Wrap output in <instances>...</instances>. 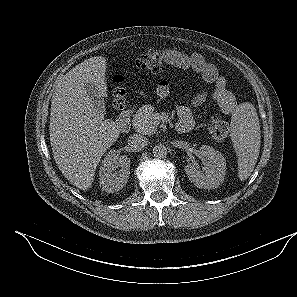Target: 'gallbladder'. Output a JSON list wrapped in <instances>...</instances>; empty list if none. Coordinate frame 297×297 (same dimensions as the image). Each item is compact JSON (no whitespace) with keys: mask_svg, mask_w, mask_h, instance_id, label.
<instances>
[{"mask_svg":"<svg viewBox=\"0 0 297 297\" xmlns=\"http://www.w3.org/2000/svg\"><path fill=\"white\" fill-rule=\"evenodd\" d=\"M85 89L93 104L99 109L101 113L105 114L104 96L99 91L98 87L95 84L88 82L85 83Z\"/></svg>","mask_w":297,"mask_h":297,"instance_id":"1","label":"gallbladder"}]
</instances>
